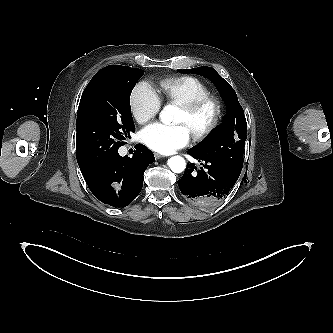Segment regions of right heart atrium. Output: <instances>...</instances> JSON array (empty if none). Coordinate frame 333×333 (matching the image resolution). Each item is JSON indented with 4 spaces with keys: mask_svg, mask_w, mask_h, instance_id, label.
<instances>
[{
    "mask_svg": "<svg viewBox=\"0 0 333 333\" xmlns=\"http://www.w3.org/2000/svg\"><path fill=\"white\" fill-rule=\"evenodd\" d=\"M130 107L135 120L139 123H145L158 114L161 100L148 83L141 82L131 94Z\"/></svg>",
    "mask_w": 333,
    "mask_h": 333,
    "instance_id": "d8ad5b80",
    "label": "right heart atrium"
}]
</instances>
